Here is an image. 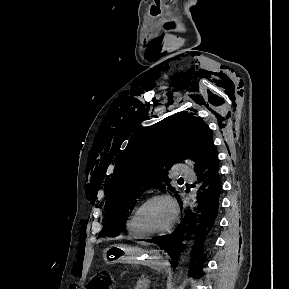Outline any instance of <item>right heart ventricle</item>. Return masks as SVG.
<instances>
[{"instance_id":"e07e8e85","label":"right heart ventricle","mask_w":289,"mask_h":289,"mask_svg":"<svg viewBox=\"0 0 289 289\" xmlns=\"http://www.w3.org/2000/svg\"><path fill=\"white\" fill-rule=\"evenodd\" d=\"M134 212H132L126 222V229L128 233L134 238H144V236L136 229L133 221Z\"/></svg>"}]
</instances>
